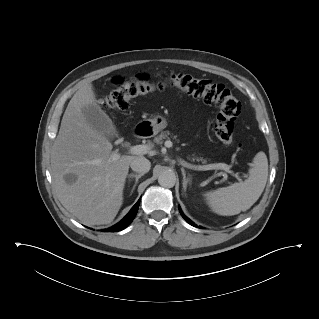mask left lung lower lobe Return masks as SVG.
Masks as SVG:
<instances>
[{"mask_svg":"<svg viewBox=\"0 0 319 319\" xmlns=\"http://www.w3.org/2000/svg\"><path fill=\"white\" fill-rule=\"evenodd\" d=\"M179 210H180V213H181L182 217H183L189 224H191L192 226H195V227H196V224H194L189 218H187V217L183 214V212L181 211V209H179Z\"/></svg>","mask_w":319,"mask_h":319,"instance_id":"obj_1","label":"left lung lower lobe"}]
</instances>
